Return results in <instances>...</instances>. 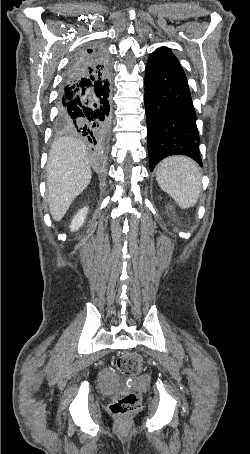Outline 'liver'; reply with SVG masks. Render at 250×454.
Here are the masks:
<instances>
[{"label": "liver", "mask_w": 250, "mask_h": 454, "mask_svg": "<svg viewBox=\"0 0 250 454\" xmlns=\"http://www.w3.org/2000/svg\"><path fill=\"white\" fill-rule=\"evenodd\" d=\"M49 210L59 221L73 200L89 185L92 171L83 142L73 137H61L51 146L47 163Z\"/></svg>", "instance_id": "obj_1"}]
</instances>
